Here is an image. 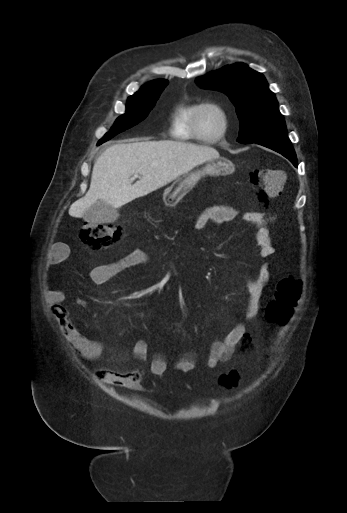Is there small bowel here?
<instances>
[{
  "instance_id": "obj_1",
  "label": "small bowel",
  "mask_w": 347,
  "mask_h": 513,
  "mask_svg": "<svg viewBox=\"0 0 347 513\" xmlns=\"http://www.w3.org/2000/svg\"><path fill=\"white\" fill-rule=\"evenodd\" d=\"M240 213L234 207L228 205L214 206L204 209L198 216L195 228L204 230L210 225H217L235 221ZM244 222L255 228V240L260 247L259 254L267 259L275 254L270 233L265 225L264 217L260 212H247L243 214ZM67 246L64 243H55L51 246L45 260V266L51 267L65 260ZM149 256L143 249H135L113 262L99 265L90 272V279L95 284H104L113 279L123 271L147 262ZM269 278L268 266L264 264L258 273L249 279L250 300L244 312L246 320L254 319L260 308L262 287ZM46 299L51 306L52 312L58 318L59 328L71 343L76 352L83 358L93 361L99 359L104 351L102 343L90 339L81 334L72 324L69 311L63 305L65 295L63 290L56 285H49L46 288ZM249 339V334L243 323H235L230 330L222 337L215 339L211 345L206 359L209 368H215L221 363L229 361L238 346ZM148 344L145 340H136L131 347V353L140 361L147 357ZM173 368L177 371L187 373L195 368V357L191 352L183 354L175 360ZM149 369L153 374L162 375L168 369V363L163 353L157 352L152 357ZM142 369H135L130 372L119 373L112 370L99 371L97 376L109 385H119L135 389L141 381Z\"/></svg>"
}]
</instances>
